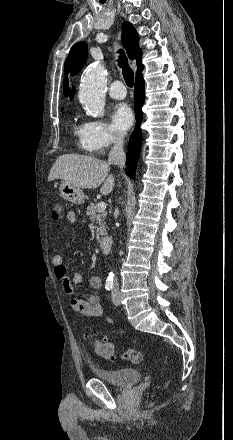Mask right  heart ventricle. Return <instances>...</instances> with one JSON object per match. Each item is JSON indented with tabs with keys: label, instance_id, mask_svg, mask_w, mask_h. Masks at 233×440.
Segmentation results:
<instances>
[{
	"label": "right heart ventricle",
	"instance_id": "obj_1",
	"mask_svg": "<svg viewBox=\"0 0 233 440\" xmlns=\"http://www.w3.org/2000/svg\"><path fill=\"white\" fill-rule=\"evenodd\" d=\"M72 132L74 136L78 138L81 147L87 150L85 143L84 124H80L77 121H74L72 124Z\"/></svg>",
	"mask_w": 233,
	"mask_h": 440
}]
</instances>
